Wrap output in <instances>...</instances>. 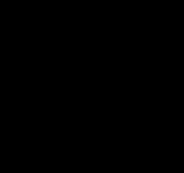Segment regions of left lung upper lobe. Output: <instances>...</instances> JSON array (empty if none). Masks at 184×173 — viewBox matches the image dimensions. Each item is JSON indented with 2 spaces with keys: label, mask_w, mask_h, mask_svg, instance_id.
Masks as SVG:
<instances>
[{
  "label": "left lung upper lobe",
  "mask_w": 184,
  "mask_h": 173,
  "mask_svg": "<svg viewBox=\"0 0 184 173\" xmlns=\"http://www.w3.org/2000/svg\"><path fill=\"white\" fill-rule=\"evenodd\" d=\"M122 96L128 104L125 129L153 147L165 126L166 95L153 65L134 49L129 50L126 58Z\"/></svg>",
  "instance_id": "left-lung-upper-lobe-1"
}]
</instances>
